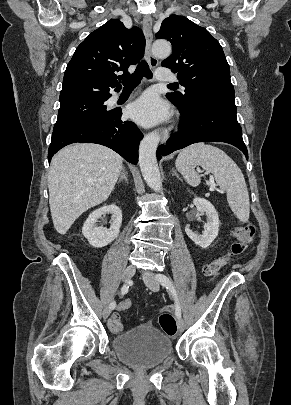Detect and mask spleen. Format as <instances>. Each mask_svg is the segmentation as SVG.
I'll return each mask as SVG.
<instances>
[{
	"label": "spleen",
	"mask_w": 291,
	"mask_h": 405,
	"mask_svg": "<svg viewBox=\"0 0 291 405\" xmlns=\"http://www.w3.org/2000/svg\"><path fill=\"white\" fill-rule=\"evenodd\" d=\"M175 166L184 180L191 186H198L201 178L195 166L211 172L216 183L226 191L228 204L241 221L249 218L250 202L246 182L237 164L221 149L198 143L191 145L178 155Z\"/></svg>",
	"instance_id": "1"
}]
</instances>
